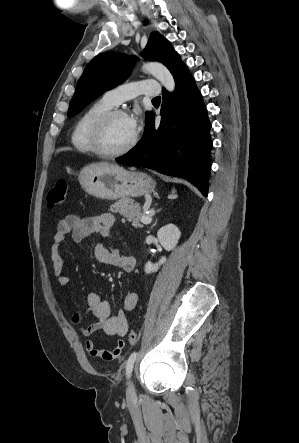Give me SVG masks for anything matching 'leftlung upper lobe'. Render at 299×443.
Wrapping results in <instances>:
<instances>
[{"label": "left lung upper lobe", "mask_w": 299, "mask_h": 443, "mask_svg": "<svg viewBox=\"0 0 299 443\" xmlns=\"http://www.w3.org/2000/svg\"><path fill=\"white\" fill-rule=\"evenodd\" d=\"M147 60L162 62L175 77L185 66L173 46L159 33H153L142 53ZM132 59L121 53L109 52L96 56L80 77L70 102L68 117L81 112L105 91L123 83L130 74ZM151 112L146 113V118Z\"/></svg>", "instance_id": "left-lung-upper-lobe-1"}]
</instances>
